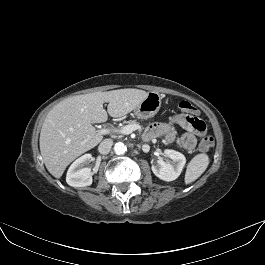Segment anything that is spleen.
<instances>
[{
    "instance_id": "obj_1",
    "label": "spleen",
    "mask_w": 265,
    "mask_h": 265,
    "mask_svg": "<svg viewBox=\"0 0 265 265\" xmlns=\"http://www.w3.org/2000/svg\"><path fill=\"white\" fill-rule=\"evenodd\" d=\"M209 157L207 154H198L189 162L186 173L185 183L189 184L198 179L207 169Z\"/></svg>"
}]
</instances>
